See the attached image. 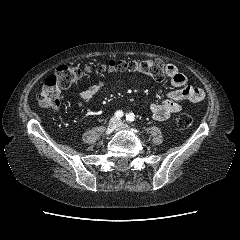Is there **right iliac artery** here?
Returning a JSON list of instances; mask_svg holds the SVG:
<instances>
[{"mask_svg":"<svg viewBox=\"0 0 240 240\" xmlns=\"http://www.w3.org/2000/svg\"><path fill=\"white\" fill-rule=\"evenodd\" d=\"M115 117L116 118H121V117H123V112L121 111V110H118L116 113H115Z\"/></svg>","mask_w":240,"mask_h":240,"instance_id":"82829eb1","label":"right iliac artery"}]
</instances>
